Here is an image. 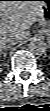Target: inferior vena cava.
<instances>
[{
  "label": "inferior vena cava",
  "instance_id": "inferior-vena-cava-1",
  "mask_svg": "<svg viewBox=\"0 0 50 111\" xmlns=\"http://www.w3.org/2000/svg\"><path fill=\"white\" fill-rule=\"evenodd\" d=\"M19 38L18 37H6L4 39V41L2 42V46L1 48H6V47H9V46H12V45H15L16 44V41H18Z\"/></svg>",
  "mask_w": 50,
  "mask_h": 111
}]
</instances>
